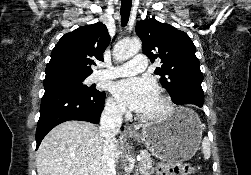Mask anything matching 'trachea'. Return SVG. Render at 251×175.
Listing matches in <instances>:
<instances>
[{
  "instance_id": "trachea-1",
  "label": "trachea",
  "mask_w": 251,
  "mask_h": 175,
  "mask_svg": "<svg viewBox=\"0 0 251 175\" xmlns=\"http://www.w3.org/2000/svg\"><path fill=\"white\" fill-rule=\"evenodd\" d=\"M131 5H132L131 0H122L120 13H121V25L123 28L124 26L127 25V22L129 20Z\"/></svg>"
}]
</instances>
